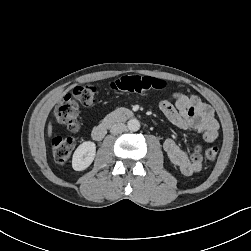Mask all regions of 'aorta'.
<instances>
[{
  "mask_svg": "<svg viewBox=\"0 0 251 251\" xmlns=\"http://www.w3.org/2000/svg\"><path fill=\"white\" fill-rule=\"evenodd\" d=\"M127 127L132 132L138 131L140 129V122L136 118L130 119L127 122Z\"/></svg>",
  "mask_w": 251,
  "mask_h": 251,
  "instance_id": "aorta-1",
  "label": "aorta"
}]
</instances>
